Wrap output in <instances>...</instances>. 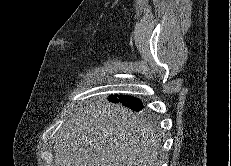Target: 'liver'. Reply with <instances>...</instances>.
I'll return each mask as SVG.
<instances>
[{"label":"liver","mask_w":231,"mask_h":166,"mask_svg":"<svg viewBox=\"0 0 231 166\" xmlns=\"http://www.w3.org/2000/svg\"><path fill=\"white\" fill-rule=\"evenodd\" d=\"M161 138L130 109L86 103L55 137V166H158Z\"/></svg>","instance_id":"1"}]
</instances>
